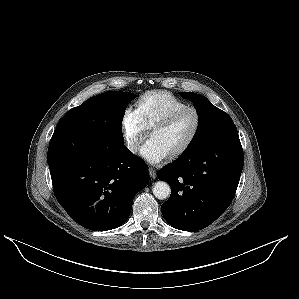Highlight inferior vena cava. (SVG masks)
<instances>
[{
    "instance_id": "602c4592",
    "label": "inferior vena cava",
    "mask_w": 299,
    "mask_h": 299,
    "mask_svg": "<svg viewBox=\"0 0 299 299\" xmlns=\"http://www.w3.org/2000/svg\"><path fill=\"white\" fill-rule=\"evenodd\" d=\"M128 148L130 151L136 152L138 150V145H136L134 143H130V144H128Z\"/></svg>"
}]
</instances>
